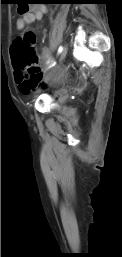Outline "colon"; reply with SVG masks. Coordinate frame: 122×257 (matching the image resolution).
Masks as SVG:
<instances>
[{
  "instance_id": "obj_1",
  "label": "colon",
  "mask_w": 122,
  "mask_h": 257,
  "mask_svg": "<svg viewBox=\"0 0 122 257\" xmlns=\"http://www.w3.org/2000/svg\"><path fill=\"white\" fill-rule=\"evenodd\" d=\"M16 10L24 14L31 10V5H16ZM11 59L16 70L26 71L31 78L40 74L38 55L36 51V37L31 31H26L17 37L11 46Z\"/></svg>"
}]
</instances>
